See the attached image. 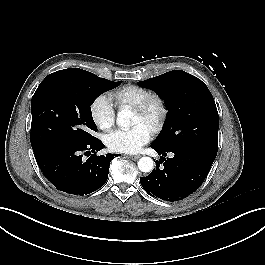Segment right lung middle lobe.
Wrapping results in <instances>:
<instances>
[{"label": "right lung middle lobe", "instance_id": "1", "mask_svg": "<svg viewBox=\"0 0 265 265\" xmlns=\"http://www.w3.org/2000/svg\"><path fill=\"white\" fill-rule=\"evenodd\" d=\"M119 82L99 78L79 68L48 75L31 100L30 141L33 150L59 145H85L97 138L90 106Z\"/></svg>", "mask_w": 265, "mask_h": 265}]
</instances>
